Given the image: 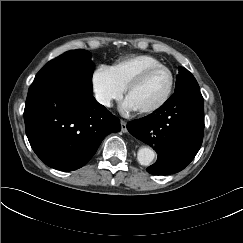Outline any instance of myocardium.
Segmentation results:
<instances>
[{
  "label": "myocardium",
  "mask_w": 243,
  "mask_h": 243,
  "mask_svg": "<svg viewBox=\"0 0 243 243\" xmlns=\"http://www.w3.org/2000/svg\"><path fill=\"white\" fill-rule=\"evenodd\" d=\"M157 69H163L168 72L169 77H170L168 89H167L165 95L154 105L147 107V108H143V109H137L136 111L139 114H151V113L158 111L169 101L170 97L172 96L174 86H175L174 74L169 67H167L163 64H158V65L150 66V67L142 70L128 83V85L125 88V98L127 99V96L129 95V93L132 90H134L136 87H138L143 82V80L146 78V76L148 74H150L151 72H153L154 70H157Z\"/></svg>",
  "instance_id": "myocardium-1"
}]
</instances>
